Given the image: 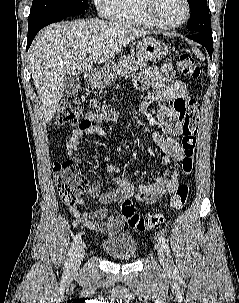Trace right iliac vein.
I'll return each instance as SVG.
<instances>
[{
  "instance_id": "right-iliac-vein-1",
  "label": "right iliac vein",
  "mask_w": 239,
  "mask_h": 303,
  "mask_svg": "<svg viewBox=\"0 0 239 303\" xmlns=\"http://www.w3.org/2000/svg\"><path fill=\"white\" fill-rule=\"evenodd\" d=\"M84 254H85V250H84V245L82 244L80 245L77 254L75 256V259L73 261V265H72L73 271H76L80 267Z\"/></svg>"
}]
</instances>
